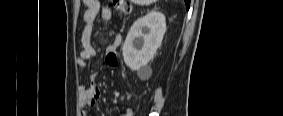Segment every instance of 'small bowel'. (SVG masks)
Masks as SVG:
<instances>
[{
  "label": "small bowel",
  "mask_w": 283,
  "mask_h": 116,
  "mask_svg": "<svg viewBox=\"0 0 283 116\" xmlns=\"http://www.w3.org/2000/svg\"><path fill=\"white\" fill-rule=\"evenodd\" d=\"M83 3L86 9L83 13V27L81 34L82 50L77 58V64L80 67H85L87 62L96 56V50L91 44V37L94 31V23L96 17L99 15L102 21H109L111 19V11L107 7H102L97 0H84ZM122 41L120 33L115 35L113 42L106 48V63L109 66H114L117 63L116 51L118 50ZM80 105L85 107L95 106L100 97L101 90L93 84H81L78 89ZM116 102V99L113 100ZM83 115H86L83 112ZM131 109H126L122 112V116H132Z\"/></svg>",
  "instance_id": "1"
}]
</instances>
